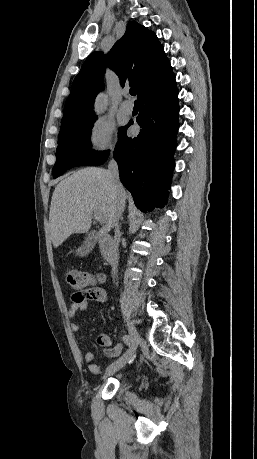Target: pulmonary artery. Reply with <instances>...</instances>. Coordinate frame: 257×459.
<instances>
[{
  "label": "pulmonary artery",
  "instance_id": "e3ab8cb5",
  "mask_svg": "<svg viewBox=\"0 0 257 459\" xmlns=\"http://www.w3.org/2000/svg\"><path fill=\"white\" fill-rule=\"evenodd\" d=\"M120 109L125 114H131L133 111V103L129 100H125L121 103Z\"/></svg>",
  "mask_w": 257,
  "mask_h": 459
}]
</instances>
